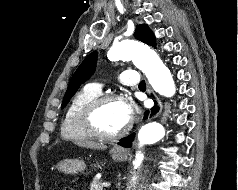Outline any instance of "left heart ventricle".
<instances>
[{
	"label": "left heart ventricle",
	"mask_w": 238,
	"mask_h": 190,
	"mask_svg": "<svg viewBox=\"0 0 238 190\" xmlns=\"http://www.w3.org/2000/svg\"><path fill=\"white\" fill-rule=\"evenodd\" d=\"M129 121L123 101L107 102L97 115V124L105 132L114 133L122 129Z\"/></svg>",
	"instance_id": "obj_1"
}]
</instances>
